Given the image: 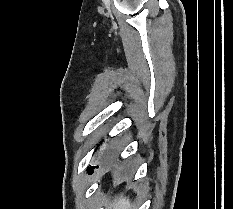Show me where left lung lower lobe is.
I'll return each mask as SVG.
<instances>
[{
  "label": "left lung lower lobe",
  "instance_id": "1",
  "mask_svg": "<svg viewBox=\"0 0 233 209\" xmlns=\"http://www.w3.org/2000/svg\"><path fill=\"white\" fill-rule=\"evenodd\" d=\"M93 168H94V167H88V168H87L88 173H91Z\"/></svg>",
  "mask_w": 233,
  "mask_h": 209
}]
</instances>
